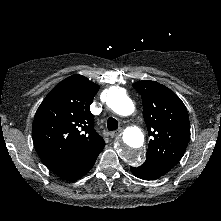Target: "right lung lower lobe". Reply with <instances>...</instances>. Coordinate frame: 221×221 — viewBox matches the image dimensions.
<instances>
[{"label":"right lung lower lobe","instance_id":"right-lung-lower-lobe-1","mask_svg":"<svg viewBox=\"0 0 221 221\" xmlns=\"http://www.w3.org/2000/svg\"><path fill=\"white\" fill-rule=\"evenodd\" d=\"M104 146L100 147L96 151L88 154L86 157L82 158L81 160L73 164L53 169L51 171H53L56 175H58L59 177L65 180L68 181L78 180L79 178H81L90 171L99 153L103 150Z\"/></svg>","mask_w":221,"mask_h":221}]
</instances>
